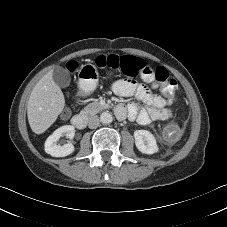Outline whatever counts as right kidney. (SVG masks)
Segmentation results:
<instances>
[{
    "label": "right kidney",
    "mask_w": 227,
    "mask_h": 227,
    "mask_svg": "<svg viewBox=\"0 0 227 227\" xmlns=\"http://www.w3.org/2000/svg\"><path fill=\"white\" fill-rule=\"evenodd\" d=\"M74 135L75 128L72 125H65L56 129L53 134L50 135L45 141V152L53 157H65L70 155L74 151V146L72 143H67L64 145H57L56 143L63 136L72 139Z\"/></svg>",
    "instance_id": "obj_1"
}]
</instances>
